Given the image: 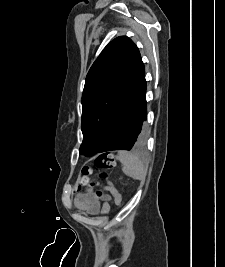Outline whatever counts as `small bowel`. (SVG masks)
<instances>
[{
  "mask_svg": "<svg viewBox=\"0 0 225 267\" xmlns=\"http://www.w3.org/2000/svg\"><path fill=\"white\" fill-rule=\"evenodd\" d=\"M107 188L115 197L117 204H119L121 195L118 193L116 188L111 184H109ZM75 205L80 210H85L90 214H96L100 208L99 196L92 188H89L75 196Z\"/></svg>",
  "mask_w": 225,
  "mask_h": 267,
  "instance_id": "1",
  "label": "small bowel"
}]
</instances>
